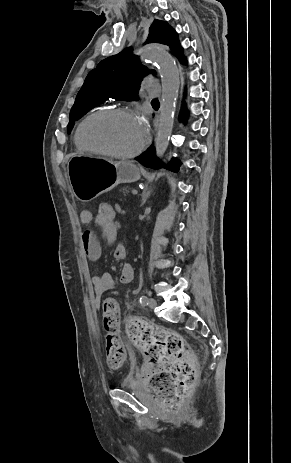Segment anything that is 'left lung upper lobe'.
I'll list each match as a JSON object with an SVG mask.
<instances>
[{"label":"left lung upper lobe","instance_id":"obj_1","mask_svg":"<svg viewBox=\"0 0 291 463\" xmlns=\"http://www.w3.org/2000/svg\"><path fill=\"white\" fill-rule=\"evenodd\" d=\"M145 43L168 45L180 62H184L183 49L178 42L177 33L174 30L171 33V27L166 22L154 20ZM153 73L155 74V71ZM147 74H149L148 69L139 62L132 48H126L101 61L95 69L88 73L77 94L70 111L68 133L72 130L76 120L108 98L137 99L141 78Z\"/></svg>","mask_w":291,"mask_h":463}]
</instances>
